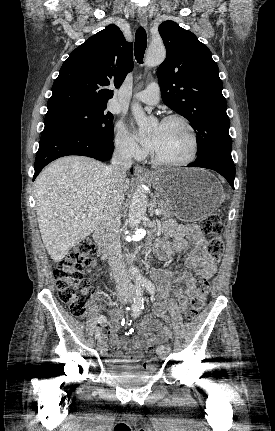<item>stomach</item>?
<instances>
[{"label": "stomach", "mask_w": 275, "mask_h": 431, "mask_svg": "<svg viewBox=\"0 0 275 431\" xmlns=\"http://www.w3.org/2000/svg\"><path fill=\"white\" fill-rule=\"evenodd\" d=\"M149 181L175 216L185 222L204 218L217 210L223 200L220 182L204 169L161 170Z\"/></svg>", "instance_id": "0dacf381"}]
</instances>
